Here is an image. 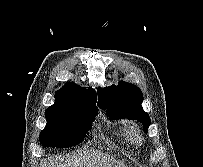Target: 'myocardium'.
<instances>
[{"instance_id": "obj_1", "label": "myocardium", "mask_w": 203, "mask_h": 167, "mask_svg": "<svg viewBox=\"0 0 203 167\" xmlns=\"http://www.w3.org/2000/svg\"><path fill=\"white\" fill-rule=\"evenodd\" d=\"M130 134H131V136L134 138V139H137L138 138V136H139V129H138V127H137V125H132L131 127H130Z\"/></svg>"}]
</instances>
